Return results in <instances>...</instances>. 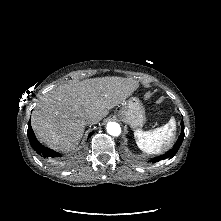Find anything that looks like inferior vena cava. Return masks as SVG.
Instances as JSON below:
<instances>
[{
    "label": "inferior vena cava",
    "instance_id": "obj_1",
    "mask_svg": "<svg viewBox=\"0 0 221 221\" xmlns=\"http://www.w3.org/2000/svg\"><path fill=\"white\" fill-rule=\"evenodd\" d=\"M83 122H84L85 125H89V124L92 123L91 119H85Z\"/></svg>",
    "mask_w": 221,
    "mask_h": 221
}]
</instances>
